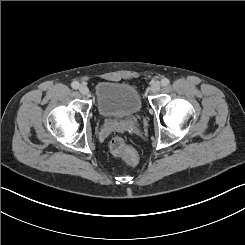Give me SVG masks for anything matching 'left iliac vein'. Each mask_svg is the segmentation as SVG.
<instances>
[{
    "instance_id": "obj_1",
    "label": "left iliac vein",
    "mask_w": 245,
    "mask_h": 245,
    "mask_svg": "<svg viewBox=\"0 0 245 245\" xmlns=\"http://www.w3.org/2000/svg\"><path fill=\"white\" fill-rule=\"evenodd\" d=\"M161 88V85L158 81H155L151 86L152 93H158Z\"/></svg>"
}]
</instances>
